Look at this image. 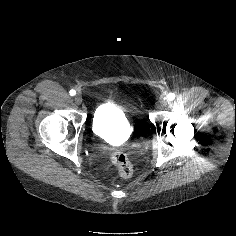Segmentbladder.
I'll list each match as a JSON object with an SVG mask.
<instances>
[{
    "label": "bladder",
    "instance_id": "bladder-1",
    "mask_svg": "<svg viewBox=\"0 0 236 236\" xmlns=\"http://www.w3.org/2000/svg\"><path fill=\"white\" fill-rule=\"evenodd\" d=\"M92 128L96 136L110 140L130 133L132 125L122 107L109 101L100 104L95 109Z\"/></svg>",
    "mask_w": 236,
    "mask_h": 236
}]
</instances>
